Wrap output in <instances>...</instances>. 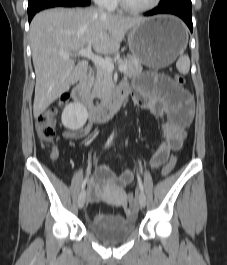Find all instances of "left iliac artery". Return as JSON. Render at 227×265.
Segmentation results:
<instances>
[{"label": "left iliac artery", "instance_id": "obj_1", "mask_svg": "<svg viewBox=\"0 0 227 265\" xmlns=\"http://www.w3.org/2000/svg\"><path fill=\"white\" fill-rule=\"evenodd\" d=\"M137 180H138L139 188L143 192V184H142V180H141L140 175H139L138 172H137Z\"/></svg>", "mask_w": 227, "mask_h": 265}]
</instances>
